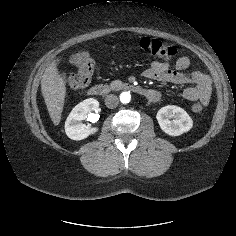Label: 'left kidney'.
<instances>
[{"label": "left kidney", "instance_id": "obj_1", "mask_svg": "<svg viewBox=\"0 0 236 236\" xmlns=\"http://www.w3.org/2000/svg\"><path fill=\"white\" fill-rule=\"evenodd\" d=\"M156 118L162 131L170 136H179L188 132L193 126V120L188 113L174 105L162 107L157 112Z\"/></svg>", "mask_w": 236, "mask_h": 236}]
</instances>
